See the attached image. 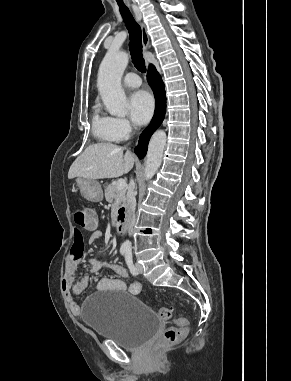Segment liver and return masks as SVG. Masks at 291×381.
<instances>
[{
  "label": "liver",
  "instance_id": "liver-1",
  "mask_svg": "<svg viewBox=\"0 0 291 381\" xmlns=\"http://www.w3.org/2000/svg\"><path fill=\"white\" fill-rule=\"evenodd\" d=\"M130 151L112 143H97L88 146L71 165L68 178L104 179L122 176L134 165Z\"/></svg>",
  "mask_w": 291,
  "mask_h": 381
}]
</instances>
